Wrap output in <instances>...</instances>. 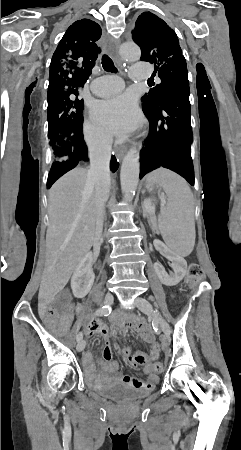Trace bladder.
Returning a JSON list of instances; mask_svg holds the SVG:
<instances>
[{
  "instance_id": "bladder-1",
  "label": "bladder",
  "mask_w": 241,
  "mask_h": 450,
  "mask_svg": "<svg viewBox=\"0 0 241 450\" xmlns=\"http://www.w3.org/2000/svg\"><path fill=\"white\" fill-rule=\"evenodd\" d=\"M105 396L117 401H131L141 397V393L124 384H111L104 389Z\"/></svg>"
}]
</instances>
